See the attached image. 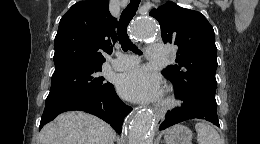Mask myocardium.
Instances as JSON below:
<instances>
[{"instance_id":"obj_1","label":"myocardium","mask_w":260,"mask_h":144,"mask_svg":"<svg viewBox=\"0 0 260 144\" xmlns=\"http://www.w3.org/2000/svg\"><path fill=\"white\" fill-rule=\"evenodd\" d=\"M174 104H175V100H174V98L171 97L170 95L167 96V97H165V98L162 100V102H161V105H162L163 107H166V108H171V107L174 106Z\"/></svg>"}]
</instances>
